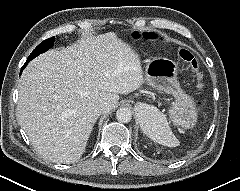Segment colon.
<instances>
[{"instance_id": "1", "label": "colon", "mask_w": 240, "mask_h": 191, "mask_svg": "<svg viewBox=\"0 0 240 191\" xmlns=\"http://www.w3.org/2000/svg\"><path fill=\"white\" fill-rule=\"evenodd\" d=\"M143 37L147 40H151L154 41L156 39H158L157 34L153 33V32H145V33H136L134 34L135 38H139V37ZM179 56L181 58L182 61H184L186 64H188L198 75L199 81H200V87L203 86V73L201 71V66L200 63L198 61V59L192 54V52H190L187 49H181L179 52ZM202 102L200 100H198L195 103V108H194V114L195 116H200L202 114Z\"/></svg>"}]
</instances>
